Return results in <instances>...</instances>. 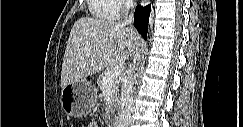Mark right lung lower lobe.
<instances>
[{
	"instance_id": "1",
	"label": "right lung lower lobe",
	"mask_w": 243,
	"mask_h": 127,
	"mask_svg": "<svg viewBox=\"0 0 243 127\" xmlns=\"http://www.w3.org/2000/svg\"><path fill=\"white\" fill-rule=\"evenodd\" d=\"M151 5L141 7L140 5L135 10L134 24L138 32L146 39L148 21Z\"/></svg>"
}]
</instances>
